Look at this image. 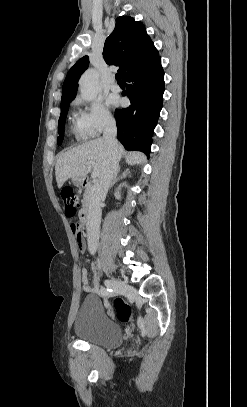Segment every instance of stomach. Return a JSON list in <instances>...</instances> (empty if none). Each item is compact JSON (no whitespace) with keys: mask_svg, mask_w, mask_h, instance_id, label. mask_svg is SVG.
<instances>
[{"mask_svg":"<svg viewBox=\"0 0 247 407\" xmlns=\"http://www.w3.org/2000/svg\"><path fill=\"white\" fill-rule=\"evenodd\" d=\"M72 182H73L76 186H81V185L83 184V178L74 177V178H72Z\"/></svg>","mask_w":247,"mask_h":407,"instance_id":"obj_1","label":"stomach"}]
</instances>
